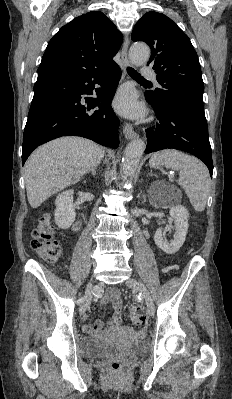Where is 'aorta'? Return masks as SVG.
I'll list each match as a JSON object with an SVG mask.
<instances>
[{
  "label": "aorta",
  "mask_w": 232,
  "mask_h": 399,
  "mask_svg": "<svg viewBox=\"0 0 232 399\" xmlns=\"http://www.w3.org/2000/svg\"><path fill=\"white\" fill-rule=\"evenodd\" d=\"M150 57V50L146 44L135 43L129 50V59L135 66L145 64ZM145 144L143 140L136 139L129 143L125 149L122 160V170L125 177L134 176L140 159L144 153Z\"/></svg>",
  "instance_id": "obj_1"
}]
</instances>
